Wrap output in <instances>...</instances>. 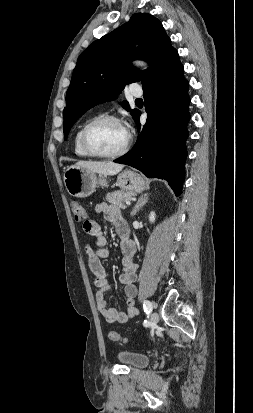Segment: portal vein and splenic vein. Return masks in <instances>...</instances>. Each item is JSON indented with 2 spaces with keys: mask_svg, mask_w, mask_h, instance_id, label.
Wrapping results in <instances>:
<instances>
[{
  "mask_svg": "<svg viewBox=\"0 0 253 413\" xmlns=\"http://www.w3.org/2000/svg\"><path fill=\"white\" fill-rule=\"evenodd\" d=\"M125 203H126L127 205H130V204H131V202H130L129 200H127Z\"/></svg>",
  "mask_w": 253,
  "mask_h": 413,
  "instance_id": "obj_1",
  "label": "portal vein and splenic vein"
}]
</instances>
